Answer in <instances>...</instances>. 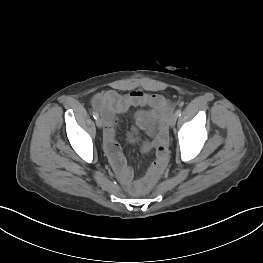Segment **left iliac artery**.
Listing matches in <instances>:
<instances>
[{
  "label": "left iliac artery",
  "mask_w": 263,
  "mask_h": 263,
  "mask_svg": "<svg viewBox=\"0 0 263 263\" xmlns=\"http://www.w3.org/2000/svg\"><path fill=\"white\" fill-rule=\"evenodd\" d=\"M181 109H178L177 111H176V115H177V117H179V116H181Z\"/></svg>",
  "instance_id": "44dca946"
}]
</instances>
